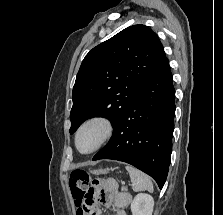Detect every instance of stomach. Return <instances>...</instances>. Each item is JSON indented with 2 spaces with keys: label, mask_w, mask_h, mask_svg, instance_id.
Here are the masks:
<instances>
[{
  "label": "stomach",
  "mask_w": 223,
  "mask_h": 215,
  "mask_svg": "<svg viewBox=\"0 0 223 215\" xmlns=\"http://www.w3.org/2000/svg\"><path fill=\"white\" fill-rule=\"evenodd\" d=\"M91 173H105V171H102V169H95V171H91Z\"/></svg>",
  "instance_id": "1"
}]
</instances>
